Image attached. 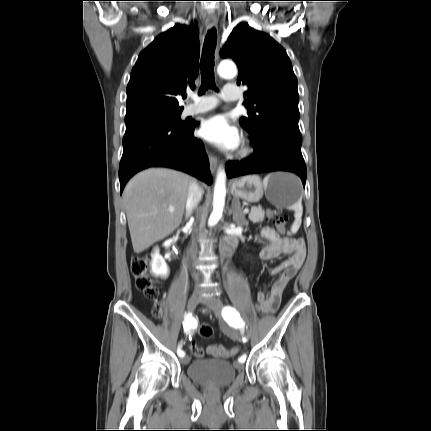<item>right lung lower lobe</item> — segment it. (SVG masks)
Wrapping results in <instances>:
<instances>
[{"label": "right lung lower lobe", "instance_id": "98d812e1", "mask_svg": "<svg viewBox=\"0 0 431 431\" xmlns=\"http://www.w3.org/2000/svg\"><path fill=\"white\" fill-rule=\"evenodd\" d=\"M195 121H148L126 127L119 168L120 192L137 172L168 167L213 182L203 144L193 136Z\"/></svg>", "mask_w": 431, "mask_h": 431}]
</instances>
